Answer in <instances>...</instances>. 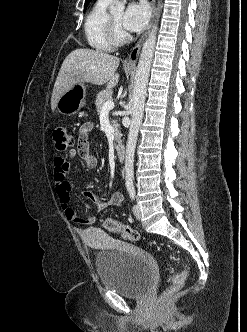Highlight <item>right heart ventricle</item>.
Returning <instances> with one entry per match:
<instances>
[{
	"label": "right heart ventricle",
	"instance_id": "1",
	"mask_svg": "<svg viewBox=\"0 0 247 332\" xmlns=\"http://www.w3.org/2000/svg\"><path fill=\"white\" fill-rule=\"evenodd\" d=\"M110 0H97L89 11L85 23L84 33L88 45L100 52L110 51L112 45L105 35V22L108 16Z\"/></svg>",
	"mask_w": 247,
	"mask_h": 332
}]
</instances>
